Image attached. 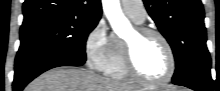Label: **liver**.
Here are the masks:
<instances>
[{
	"instance_id": "1",
	"label": "liver",
	"mask_w": 220,
	"mask_h": 91,
	"mask_svg": "<svg viewBox=\"0 0 220 91\" xmlns=\"http://www.w3.org/2000/svg\"><path fill=\"white\" fill-rule=\"evenodd\" d=\"M24 91H136L127 83L76 67L53 68L34 79Z\"/></svg>"
}]
</instances>
